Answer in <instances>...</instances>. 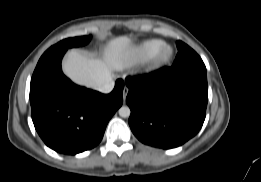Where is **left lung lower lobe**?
<instances>
[{"mask_svg":"<svg viewBox=\"0 0 261 182\" xmlns=\"http://www.w3.org/2000/svg\"><path fill=\"white\" fill-rule=\"evenodd\" d=\"M129 125L144 144L171 149L195 136L206 115V67H164L128 77Z\"/></svg>","mask_w":261,"mask_h":182,"instance_id":"1","label":"left lung lower lobe"}]
</instances>
